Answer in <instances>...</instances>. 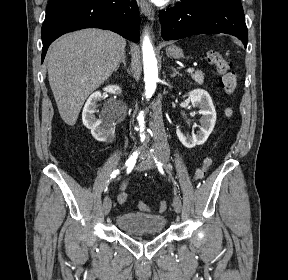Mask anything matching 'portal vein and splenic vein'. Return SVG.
Listing matches in <instances>:
<instances>
[{
	"mask_svg": "<svg viewBox=\"0 0 288 280\" xmlns=\"http://www.w3.org/2000/svg\"><path fill=\"white\" fill-rule=\"evenodd\" d=\"M193 71H194V68H188V69H187V72H188V73H192Z\"/></svg>",
	"mask_w": 288,
	"mask_h": 280,
	"instance_id": "portal-vein-and-splenic-vein-1",
	"label": "portal vein and splenic vein"
}]
</instances>
